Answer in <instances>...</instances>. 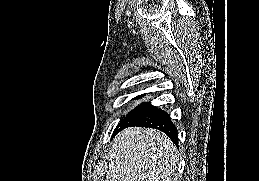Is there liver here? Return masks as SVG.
Listing matches in <instances>:
<instances>
[{
  "mask_svg": "<svg viewBox=\"0 0 259 181\" xmlns=\"http://www.w3.org/2000/svg\"><path fill=\"white\" fill-rule=\"evenodd\" d=\"M178 151L161 131L130 127L115 138L105 181H176Z\"/></svg>",
  "mask_w": 259,
  "mask_h": 181,
  "instance_id": "1",
  "label": "liver"
}]
</instances>
